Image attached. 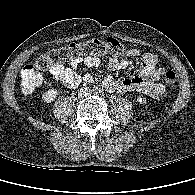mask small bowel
<instances>
[{
    "label": "small bowel",
    "instance_id": "obj_1",
    "mask_svg": "<svg viewBox=\"0 0 195 195\" xmlns=\"http://www.w3.org/2000/svg\"><path fill=\"white\" fill-rule=\"evenodd\" d=\"M129 58H140L141 67L135 76L127 77L122 80H115L112 76H107L103 80L104 86L110 92L127 93L137 91L152 98H159L164 92V86L158 82L165 70L158 68V58L150 52H142L136 48L128 49ZM88 69L99 68L102 65L97 56H86L73 58L69 66L57 64L49 69L55 80L63 83L67 88L75 89L82 82L91 83L94 78L90 73L83 75L78 73L80 65ZM132 64V61L113 55L106 63L105 68L114 72L125 69Z\"/></svg>",
    "mask_w": 195,
    "mask_h": 195
}]
</instances>
